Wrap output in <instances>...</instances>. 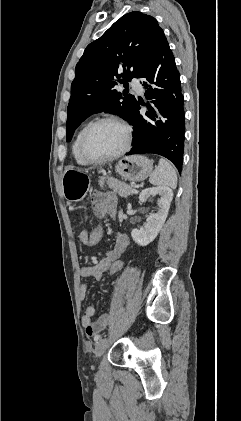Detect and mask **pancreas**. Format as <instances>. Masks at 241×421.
I'll use <instances>...</instances> for the list:
<instances>
[{
	"mask_svg": "<svg viewBox=\"0 0 241 421\" xmlns=\"http://www.w3.org/2000/svg\"><path fill=\"white\" fill-rule=\"evenodd\" d=\"M107 183L108 187L114 191V193H117L121 197H128L129 195L134 194L132 192V187L125 182L119 181L115 178H101L99 180V185L103 189L104 183Z\"/></svg>",
	"mask_w": 241,
	"mask_h": 421,
	"instance_id": "pancreas-1",
	"label": "pancreas"
}]
</instances>
